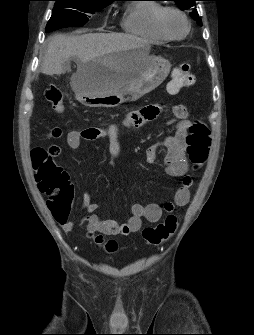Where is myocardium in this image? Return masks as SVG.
Here are the masks:
<instances>
[{
  "label": "myocardium",
  "mask_w": 254,
  "mask_h": 335,
  "mask_svg": "<svg viewBox=\"0 0 254 335\" xmlns=\"http://www.w3.org/2000/svg\"><path fill=\"white\" fill-rule=\"evenodd\" d=\"M167 12H174L178 15H180L183 20L185 21L186 24V30L185 32L177 37L171 36L169 35L163 28V24H162V20H163V15ZM154 25H155V29L156 31L166 40H170V41H178V40H182L184 39L190 32L191 30V22L188 18V16L179 8L174 7V6H165V7H161L159 9V11L157 12L155 19H154Z\"/></svg>",
  "instance_id": "f54148a6"
}]
</instances>
